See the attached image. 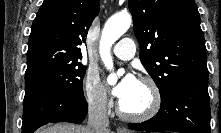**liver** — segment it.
I'll list each match as a JSON object with an SVG mask.
<instances>
[{
  "mask_svg": "<svg viewBox=\"0 0 221 133\" xmlns=\"http://www.w3.org/2000/svg\"><path fill=\"white\" fill-rule=\"evenodd\" d=\"M37 133H89V129L88 127L68 123H58L39 129Z\"/></svg>",
  "mask_w": 221,
  "mask_h": 133,
  "instance_id": "liver-1",
  "label": "liver"
}]
</instances>
